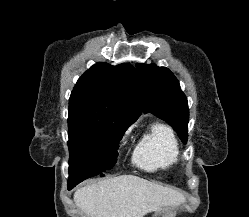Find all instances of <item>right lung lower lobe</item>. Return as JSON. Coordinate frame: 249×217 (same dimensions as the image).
Returning a JSON list of instances; mask_svg holds the SVG:
<instances>
[{
  "mask_svg": "<svg viewBox=\"0 0 249 217\" xmlns=\"http://www.w3.org/2000/svg\"><path fill=\"white\" fill-rule=\"evenodd\" d=\"M90 171V167L85 165L82 162L73 163L69 161V180H68V189H72L78 183L82 182L85 178V173L87 174ZM99 176L103 177L104 174Z\"/></svg>",
  "mask_w": 249,
  "mask_h": 217,
  "instance_id": "obj_1",
  "label": "right lung lower lobe"
}]
</instances>
